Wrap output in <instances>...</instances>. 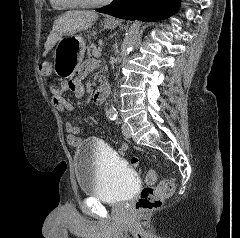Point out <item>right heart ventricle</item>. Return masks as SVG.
I'll return each mask as SVG.
<instances>
[{
	"label": "right heart ventricle",
	"instance_id": "e07e8e85",
	"mask_svg": "<svg viewBox=\"0 0 240 238\" xmlns=\"http://www.w3.org/2000/svg\"><path fill=\"white\" fill-rule=\"evenodd\" d=\"M50 2L54 6L72 7V6L68 5V0H50Z\"/></svg>",
	"mask_w": 240,
	"mask_h": 238
}]
</instances>
